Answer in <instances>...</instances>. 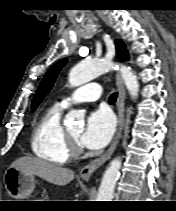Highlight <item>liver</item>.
Returning a JSON list of instances; mask_svg holds the SVG:
<instances>
[{"instance_id":"liver-1","label":"liver","mask_w":176,"mask_h":211,"mask_svg":"<svg viewBox=\"0 0 176 211\" xmlns=\"http://www.w3.org/2000/svg\"><path fill=\"white\" fill-rule=\"evenodd\" d=\"M10 167L26 174L39 176L58 186H64L74 179V172L72 170L31 156L18 158Z\"/></svg>"}]
</instances>
